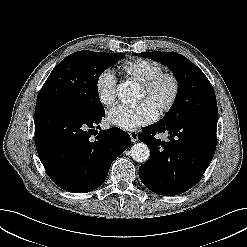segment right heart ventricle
<instances>
[{
    "mask_svg": "<svg viewBox=\"0 0 247 247\" xmlns=\"http://www.w3.org/2000/svg\"><path fill=\"white\" fill-rule=\"evenodd\" d=\"M121 71L128 77L143 83L163 72V66L154 60L135 59L121 66Z\"/></svg>",
    "mask_w": 247,
    "mask_h": 247,
    "instance_id": "obj_1",
    "label": "right heart ventricle"
}]
</instances>
